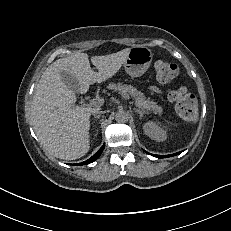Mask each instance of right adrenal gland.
<instances>
[{
  "label": "right adrenal gland",
  "instance_id": "right-adrenal-gland-1",
  "mask_svg": "<svg viewBox=\"0 0 231 231\" xmlns=\"http://www.w3.org/2000/svg\"><path fill=\"white\" fill-rule=\"evenodd\" d=\"M100 118V114L99 115H94V119H99Z\"/></svg>",
  "mask_w": 231,
  "mask_h": 231
}]
</instances>
